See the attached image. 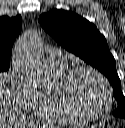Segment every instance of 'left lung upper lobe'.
Returning a JSON list of instances; mask_svg holds the SVG:
<instances>
[{"label":"left lung upper lobe","mask_w":125,"mask_h":128,"mask_svg":"<svg viewBox=\"0 0 125 128\" xmlns=\"http://www.w3.org/2000/svg\"><path fill=\"white\" fill-rule=\"evenodd\" d=\"M41 26L62 47L98 69L109 80L119 107L114 116L125 118V97L117 74L115 59L105 37L97 28L71 11L53 9L39 17Z\"/></svg>","instance_id":"left-lung-upper-lobe-1"}]
</instances>
